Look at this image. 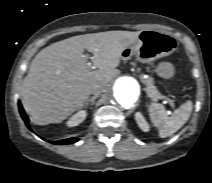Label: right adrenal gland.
I'll list each match as a JSON object with an SVG mask.
<instances>
[{
    "instance_id": "obj_1",
    "label": "right adrenal gland",
    "mask_w": 212,
    "mask_h": 183,
    "mask_svg": "<svg viewBox=\"0 0 212 183\" xmlns=\"http://www.w3.org/2000/svg\"><path fill=\"white\" fill-rule=\"evenodd\" d=\"M98 98V95H95L91 98H89L86 102H85V108H87V106L89 104L94 105L95 100Z\"/></svg>"
}]
</instances>
